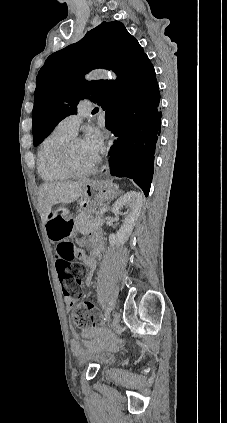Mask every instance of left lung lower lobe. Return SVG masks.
Masks as SVG:
<instances>
[{"label": "left lung lower lobe", "instance_id": "0a47b994", "mask_svg": "<svg viewBox=\"0 0 227 423\" xmlns=\"http://www.w3.org/2000/svg\"><path fill=\"white\" fill-rule=\"evenodd\" d=\"M105 126L119 137L110 149L113 176L128 177L148 196L161 129L160 93L155 71L130 96L124 109H108Z\"/></svg>", "mask_w": 227, "mask_h": 423}]
</instances>
